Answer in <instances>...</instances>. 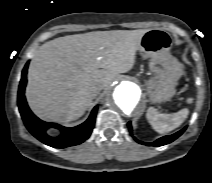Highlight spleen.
Returning a JSON list of instances; mask_svg holds the SVG:
<instances>
[{"mask_svg":"<svg viewBox=\"0 0 212 183\" xmlns=\"http://www.w3.org/2000/svg\"><path fill=\"white\" fill-rule=\"evenodd\" d=\"M188 114L189 110L187 108L176 113L164 114L159 113L153 107H149L146 118L156 132L164 134L179 127L186 120Z\"/></svg>","mask_w":212,"mask_h":183,"instance_id":"1","label":"spleen"}]
</instances>
